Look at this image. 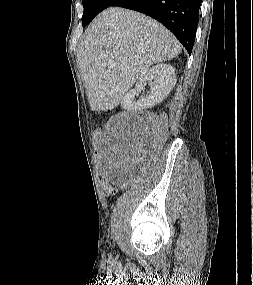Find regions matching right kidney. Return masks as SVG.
I'll return each mask as SVG.
<instances>
[{"mask_svg": "<svg viewBox=\"0 0 253 285\" xmlns=\"http://www.w3.org/2000/svg\"><path fill=\"white\" fill-rule=\"evenodd\" d=\"M147 82H151L150 94L146 98L135 101V95L141 92ZM175 84V69L170 64L159 63L140 75L135 88L125 94L121 104L123 108L133 111L154 107L168 96Z\"/></svg>", "mask_w": 253, "mask_h": 285, "instance_id": "obj_1", "label": "right kidney"}]
</instances>
